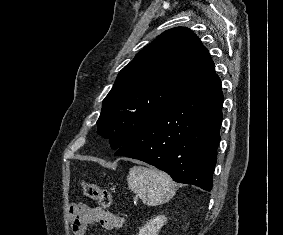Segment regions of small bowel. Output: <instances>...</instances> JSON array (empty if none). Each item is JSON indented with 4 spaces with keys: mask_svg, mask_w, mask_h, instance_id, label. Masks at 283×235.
Wrapping results in <instances>:
<instances>
[{
    "mask_svg": "<svg viewBox=\"0 0 283 235\" xmlns=\"http://www.w3.org/2000/svg\"><path fill=\"white\" fill-rule=\"evenodd\" d=\"M68 215L73 235H85L88 227L94 222H98L109 231L119 229L124 224L123 217L86 204L70 205Z\"/></svg>",
    "mask_w": 283,
    "mask_h": 235,
    "instance_id": "1",
    "label": "small bowel"
}]
</instances>
